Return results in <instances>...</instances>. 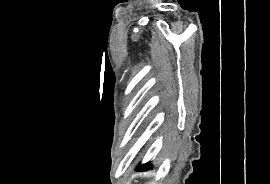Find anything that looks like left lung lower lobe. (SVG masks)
I'll use <instances>...</instances> for the list:
<instances>
[{"mask_svg": "<svg viewBox=\"0 0 270 184\" xmlns=\"http://www.w3.org/2000/svg\"><path fill=\"white\" fill-rule=\"evenodd\" d=\"M149 169H151V164L150 163H146V164H143V165H139L136 168V171H146V170H149Z\"/></svg>", "mask_w": 270, "mask_h": 184, "instance_id": "obj_1", "label": "left lung lower lobe"}]
</instances>
